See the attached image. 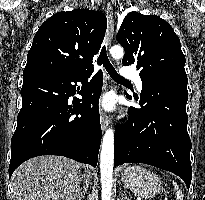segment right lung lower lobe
Segmentation results:
<instances>
[{
	"label": "right lung lower lobe",
	"mask_w": 205,
	"mask_h": 200,
	"mask_svg": "<svg viewBox=\"0 0 205 200\" xmlns=\"http://www.w3.org/2000/svg\"><path fill=\"white\" fill-rule=\"evenodd\" d=\"M90 74L23 72L22 108L11 140L9 177L21 163L41 155H61L96 167L102 136L98 100L103 74L100 70L88 83ZM77 82L87 85L80 92L82 99L72 100Z\"/></svg>",
	"instance_id": "1"
}]
</instances>
